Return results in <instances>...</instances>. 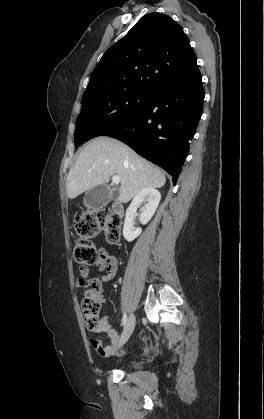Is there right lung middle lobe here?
<instances>
[{
  "label": "right lung middle lobe",
  "instance_id": "dd1d6c3e",
  "mask_svg": "<svg viewBox=\"0 0 264 419\" xmlns=\"http://www.w3.org/2000/svg\"><path fill=\"white\" fill-rule=\"evenodd\" d=\"M150 94L149 90L133 88L84 96L76 123L75 148L133 115L146 103Z\"/></svg>",
  "mask_w": 264,
  "mask_h": 419
}]
</instances>
